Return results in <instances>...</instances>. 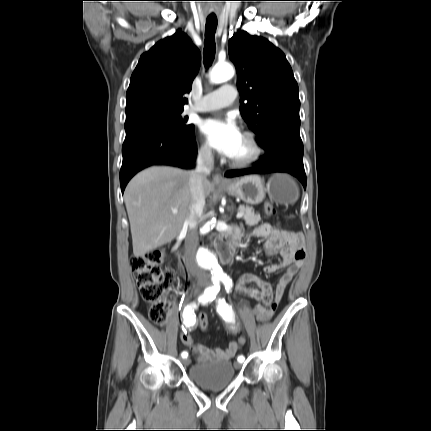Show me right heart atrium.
I'll return each instance as SVG.
<instances>
[{"mask_svg":"<svg viewBox=\"0 0 431 431\" xmlns=\"http://www.w3.org/2000/svg\"><path fill=\"white\" fill-rule=\"evenodd\" d=\"M199 156L201 159L203 160H210L212 157V152L211 149L209 147V145L207 143H203L200 148H199Z\"/></svg>","mask_w":431,"mask_h":431,"instance_id":"d8ad5b80","label":"right heart atrium"}]
</instances>
